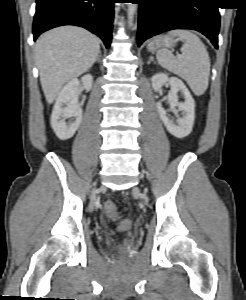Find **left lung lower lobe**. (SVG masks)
Segmentation results:
<instances>
[{"label": "left lung lower lobe", "instance_id": "left-lung-lower-lobe-1", "mask_svg": "<svg viewBox=\"0 0 246 300\" xmlns=\"http://www.w3.org/2000/svg\"><path fill=\"white\" fill-rule=\"evenodd\" d=\"M134 3L140 4L138 46L168 30L193 29L218 48L220 15L215 0H135Z\"/></svg>", "mask_w": 246, "mask_h": 300}]
</instances>
